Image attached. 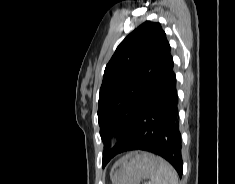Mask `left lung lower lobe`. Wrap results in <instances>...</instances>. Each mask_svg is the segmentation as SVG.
<instances>
[{"instance_id": "0a47b994", "label": "left lung lower lobe", "mask_w": 235, "mask_h": 184, "mask_svg": "<svg viewBox=\"0 0 235 184\" xmlns=\"http://www.w3.org/2000/svg\"><path fill=\"white\" fill-rule=\"evenodd\" d=\"M167 41L154 82L141 106L134 130L119 153L144 150L166 159L182 176L176 77Z\"/></svg>"}]
</instances>
